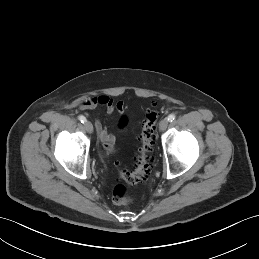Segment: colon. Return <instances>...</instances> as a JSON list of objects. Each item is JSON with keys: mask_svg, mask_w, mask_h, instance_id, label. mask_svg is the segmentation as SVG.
<instances>
[{"mask_svg": "<svg viewBox=\"0 0 259 259\" xmlns=\"http://www.w3.org/2000/svg\"><path fill=\"white\" fill-rule=\"evenodd\" d=\"M158 109L152 106L146 110L143 122L142 132L139 137L138 155L135 160V168L132 171L120 169L119 176L130 186H136L145 179L152 165V159L149 155L156 141V122L158 118ZM128 124V118L122 116L119 120V127L124 128ZM112 200L115 204H125L130 201L128 189L123 184H117L112 191Z\"/></svg>", "mask_w": 259, "mask_h": 259, "instance_id": "1", "label": "colon"}]
</instances>
